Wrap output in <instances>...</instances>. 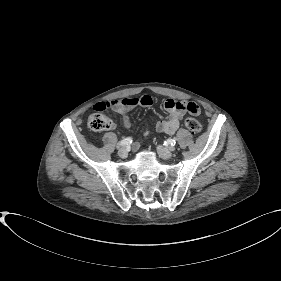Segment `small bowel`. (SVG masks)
<instances>
[{
    "mask_svg": "<svg viewBox=\"0 0 281 281\" xmlns=\"http://www.w3.org/2000/svg\"><path fill=\"white\" fill-rule=\"evenodd\" d=\"M192 102L175 101L173 99H166L163 102L164 109L168 112V118L166 120H156L155 126L157 131L171 135L176 132L179 127L180 121L184 114L188 111V105ZM153 105V98L149 95H142L141 97H128L122 99H116L112 101L98 102L95 104L94 109L96 111H102L105 109H111L119 114L123 115V127L125 129L130 128V122L125 113L131 111L137 107H150ZM194 114V113H192ZM199 114V113H198ZM149 130L145 131V135L149 134ZM135 149H138V145H135Z\"/></svg>",
    "mask_w": 281,
    "mask_h": 281,
    "instance_id": "c3829d8e",
    "label": "small bowel"
}]
</instances>
